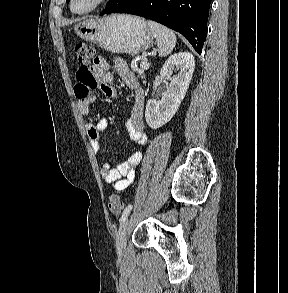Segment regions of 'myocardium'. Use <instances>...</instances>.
Segmentation results:
<instances>
[{
	"instance_id": "myocardium-1",
	"label": "myocardium",
	"mask_w": 288,
	"mask_h": 293,
	"mask_svg": "<svg viewBox=\"0 0 288 293\" xmlns=\"http://www.w3.org/2000/svg\"><path fill=\"white\" fill-rule=\"evenodd\" d=\"M76 0H70L69 1V6H70V10L72 13L74 14H87L89 12L94 11L95 9H97L98 7H100L106 0H94L88 7L81 9V10H77L74 8V3Z\"/></svg>"
}]
</instances>
